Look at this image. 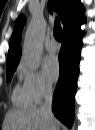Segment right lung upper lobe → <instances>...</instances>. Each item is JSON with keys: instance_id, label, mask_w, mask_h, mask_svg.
Returning <instances> with one entry per match:
<instances>
[{"instance_id": "1", "label": "right lung upper lobe", "mask_w": 95, "mask_h": 130, "mask_svg": "<svg viewBox=\"0 0 95 130\" xmlns=\"http://www.w3.org/2000/svg\"><path fill=\"white\" fill-rule=\"evenodd\" d=\"M55 8L64 25L63 35L67 36L80 31V26L85 22L84 7L80 0H49V9ZM25 23L23 16L19 17L14 25L10 41L6 70L16 69L21 57V33Z\"/></svg>"}]
</instances>
